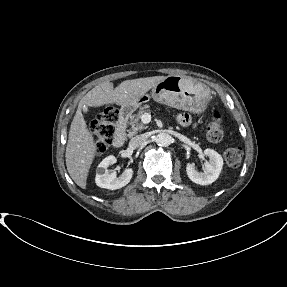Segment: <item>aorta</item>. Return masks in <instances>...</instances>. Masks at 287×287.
Here are the masks:
<instances>
[{
  "label": "aorta",
  "mask_w": 287,
  "mask_h": 287,
  "mask_svg": "<svg viewBox=\"0 0 287 287\" xmlns=\"http://www.w3.org/2000/svg\"><path fill=\"white\" fill-rule=\"evenodd\" d=\"M155 142L158 146L167 147L171 144L172 137L168 133L162 132L156 136Z\"/></svg>",
  "instance_id": "1"
}]
</instances>
